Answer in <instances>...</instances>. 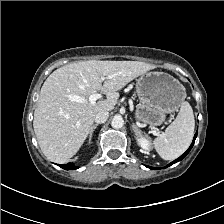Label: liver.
Returning a JSON list of instances; mask_svg holds the SVG:
<instances>
[{
  "instance_id": "liver-1",
  "label": "liver",
  "mask_w": 224,
  "mask_h": 224,
  "mask_svg": "<svg viewBox=\"0 0 224 224\" xmlns=\"http://www.w3.org/2000/svg\"><path fill=\"white\" fill-rule=\"evenodd\" d=\"M154 68L140 61L89 60L55 70L44 82L34 112L33 127L43 154L53 162L66 163L83 145L95 115L113 110L118 91ZM102 76L106 77L104 82ZM100 91L107 98L91 104L89 96ZM70 95L83 101H71Z\"/></svg>"
}]
</instances>
